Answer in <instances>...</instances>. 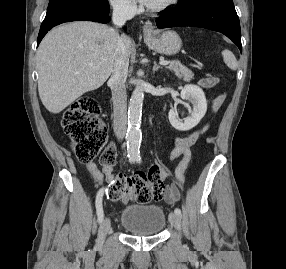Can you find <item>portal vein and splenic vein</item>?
I'll return each instance as SVG.
<instances>
[{
	"label": "portal vein and splenic vein",
	"mask_w": 286,
	"mask_h": 269,
	"mask_svg": "<svg viewBox=\"0 0 286 269\" xmlns=\"http://www.w3.org/2000/svg\"><path fill=\"white\" fill-rule=\"evenodd\" d=\"M170 62L169 61H166V60H161L160 61V64L161 65H168Z\"/></svg>",
	"instance_id": "1"
}]
</instances>
